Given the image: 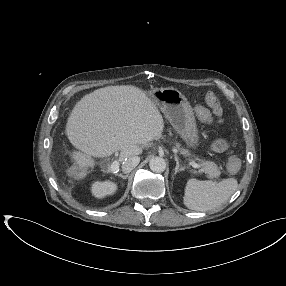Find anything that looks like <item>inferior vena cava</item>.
I'll list each match as a JSON object with an SVG mask.
<instances>
[{
    "mask_svg": "<svg viewBox=\"0 0 286 286\" xmlns=\"http://www.w3.org/2000/svg\"><path fill=\"white\" fill-rule=\"evenodd\" d=\"M140 162V157L138 156H131L124 159L122 164V171L124 173L131 172Z\"/></svg>",
    "mask_w": 286,
    "mask_h": 286,
    "instance_id": "602c4592",
    "label": "inferior vena cava"
}]
</instances>
